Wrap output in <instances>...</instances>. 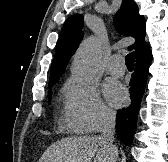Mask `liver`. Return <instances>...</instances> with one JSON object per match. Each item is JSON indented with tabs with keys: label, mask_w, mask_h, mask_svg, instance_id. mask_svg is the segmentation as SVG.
Returning <instances> with one entry per match:
<instances>
[{
	"label": "liver",
	"mask_w": 168,
	"mask_h": 162,
	"mask_svg": "<svg viewBox=\"0 0 168 162\" xmlns=\"http://www.w3.org/2000/svg\"><path fill=\"white\" fill-rule=\"evenodd\" d=\"M118 155L103 143L100 137H68L53 143L39 162H116Z\"/></svg>",
	"instance_id": "1"
}]
</instances>
